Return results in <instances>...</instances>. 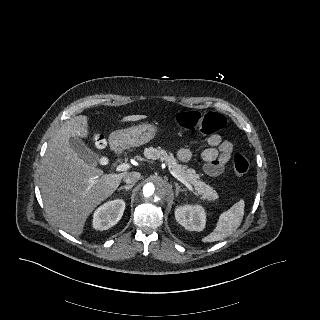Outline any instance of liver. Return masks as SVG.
Instances as JSON below:
<instances>
[{"label":"liver","mask_w":320,"mask_h":320,"mask_svg":"<svg viewBox=\"0 0 320 320\" xmlns=\"http://www.w3.org/2000/svg\"><path fill=\"white\" fill-rule=\"evenodd\" d=\"M145 115H129L122 122H134ZM89 118L79 115L66 121L52 137L42 162L40 190L47 214L68 233H83L86 219L97 205L111 196L128 173L103 174L79 158L70 138H87Z\"/></svg>","instance_id":"liver-1"}]
</instances>
